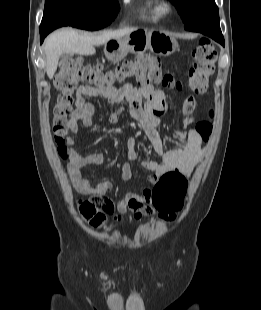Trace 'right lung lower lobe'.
Listing matches in <instances>:
<instances>
[{"label":"right lung lower lobe","mask_w":261,"mask_h":310,"mask_svg":"<svg viewBox=\"0 0 261 310\" xmlns=\"http://www.w3.org/2000/svg\"><path fill=\"white\" fill-rule=\"evenodd\" d=\"M52 30H48V29H40V40L41 43L43 42L44 38L46 37V35L51 32Z\"/></svg>","instance_id":"98d812e1"}]
</instances>
